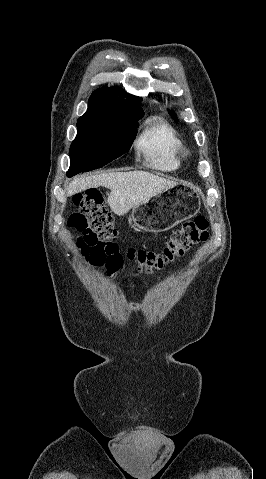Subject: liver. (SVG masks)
Instances as JSON below:
<instances>
[{"label":"liver","mask_w":266,"mask_h":479,"mask_svg":"<svg viewBox=\"0 0 266 479\" xmlns=\"http://www.w3.org/2000/svg\"><path fill=\"white\" fill-rule=\"evenodd\" d=\"M178 184L147 171L112 172L76 178L66 189L67 196L100 186L111 190L108 204L118 216Z\"/></svg>","instance_id":"6515ba94"}]
</instances>
